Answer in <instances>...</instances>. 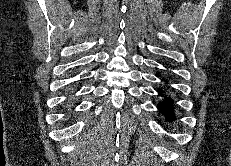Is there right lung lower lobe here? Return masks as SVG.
<instances>
[{
  "label": "right lung lower lobe",
  "mask_w": 231,
  "mask_h": 166,
  "mask_svg": "<svg viewBox=\"0 0 231 166\" xmlns=\"http://www.w3.org/2000/svg\"><path fill=\"white\" fill-rule=\"evenodd\" d=\"M74 90L72 88H70L67 92V95L69 96V98L66 101V107L70 108V106L72 105V103L74 102V97H70L71 95H73Z\"/></svg>",
  "instance_id": "1"
}]
</instances>
